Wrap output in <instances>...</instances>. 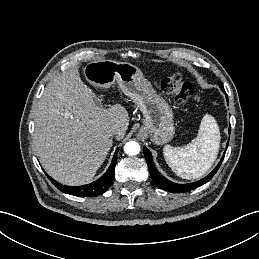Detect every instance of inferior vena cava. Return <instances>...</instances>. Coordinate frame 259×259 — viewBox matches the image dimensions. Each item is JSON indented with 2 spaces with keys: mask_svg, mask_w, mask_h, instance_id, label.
Wrapping results in <instances>:
<instances>
[{
  "mask_svg": "<svg viewBox=\"0 0 259 259\" xmlns=\"http://www.w3.org/2000/svg\"><path fill=\"white\" fill-rule=\"evenodd\" d=\"M120 133V129L118 127H112L110 130H109V134L110 135H118Z\"/></svg>",
  "mask_w": 259,
  "mask_h": 259,
  "instance_id": "inferior-vena-cava-1",
  "label": "inferior vena cava"
}]
</instances>
